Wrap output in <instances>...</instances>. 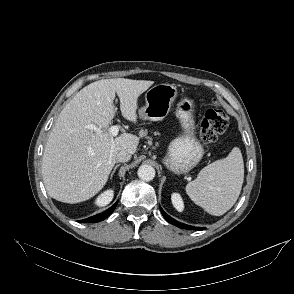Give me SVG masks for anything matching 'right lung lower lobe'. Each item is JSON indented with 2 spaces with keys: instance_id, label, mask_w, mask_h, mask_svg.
I'll list each match as a JSON object with an SVG mask.
<instances>
[{
  "instance_id": "obj_1",
  "label": "right lung lower lobe",
  "mask_w": 294,
  "mask_h": 294,
  "mask_svg": "<svg viewBox=\"0 0 294 294\" xmlns=\"http://www.w3.org/2000/svg\"><path fill=\"white\" fill-rule=\"evenodd\" d=\"M116 205H117V202L112 207H110L108 210L104 211L103 213H100L98 215L92 216V217L84 219V220H80V222L88 223V222L102 221L114 211Z\"/></svg>"
}]
</instances>
